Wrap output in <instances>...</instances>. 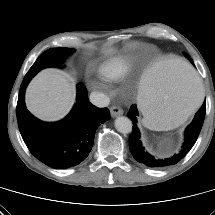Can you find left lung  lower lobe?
Instances as JSON below:
<instances>
[{
	"label": "left lung lower lobe",
	"instance_id": "1",
	"mask_svg": "<svg viewBox=\"0 0 215 215\" xmlns=\"http://www.w3.org/2000/svg\"><path fill=\"white\" fill-rule=\"evenodd\" d=\"M206 112V103L204 102L201 108L195 115L194 120L186 128L185 140L181 147V150L173 155L172 157L159 158L146 151L140 140V131L137 127V116L138 112L135 105L130 107L128 117L133 122V130L129 138V147L133 157L140 163L153 168H162L178 163L185 155L190 151V149L195 144L200 130L202 128Z\"/></svg>",
	"mask_w": 215,
	"mask_h": 215
}]
</instances>
